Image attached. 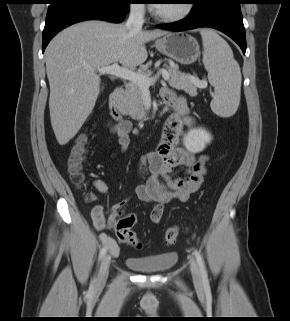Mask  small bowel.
Returning <instances> with one entry per match:
<instances>
[{
  "label": "small bowel",
  "mask_w": 290,
  "mask_h": 321,
  "mask_svg": "<svg viewBox=\"0 0 290 321\" xmlns=\"http://www.w3.org/2000/svg\"><path fill=\"white\" fill-rule=\"evenodd\" d=\"M161 96L163 99H175L181 108L166 120L156 149L142 155L138 164L143 182L136 187L135 193L139 199L154 204L150 213L153 223L161 220L167 203L173 200L187 201L202 185L207 172V156H196L178 146L183 129L194 124L184 98L175 95L168 88L161 90ZM131 130L132 123L129 120H121L111 128V132L118 137L122 151L129 145ZM179 168H184L185 172L182 176H175V171ZM93 185L101 194L108 191L106 183L102 180L94 181ZM124 207L125 201L120 202L114 205L106 216L104 206L95 205L91 212L95 228L102 231L107 226H114L117 217L123 214ZM103 242L113 253H117L118 248L113 240L103 237Z\"/></svg>",
  "instance_id": "small-bowel-1"
}]
</instances>
